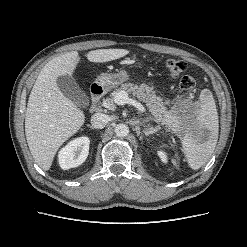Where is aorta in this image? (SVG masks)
I'll return each instance as SVG.
<instances>
[{"instance_id": "762f6f07", "label": "aorta", "mask_w": 247, "mask_h": 247, "mask_svg": "<svg viewBox=\"0 0 247 247\" xmlns=\"http://www.w3.org/2000/svg\"><path fill=\"white\" fill-rule=\"evenodd\" d=\"M114 132L117 137H126L129 134V127L126 124L120 123L115 126Z\"/></svg>"}]
</instances>
